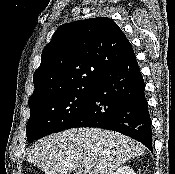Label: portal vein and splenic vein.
Here are the masks:
<instances>
[{
	"label": "portal vein and splenic vein",
	"mask_w": 175,
	"mask_h": 174,
	"mask_svg": "<svg viewBox=\"0 0 175 174\" xmlns=\"http://www.w3.org/2000/svg\"><path fill=\"white\" fill-rule=\"evenodd\" d=\"M84 166H85V167H87V166H88V164H86V163H85V164H84Z\"/></svg>",
	"instance_id": "portal-vein-and-splenic-vein-1"
}]
</instances>
